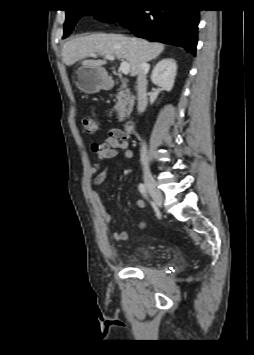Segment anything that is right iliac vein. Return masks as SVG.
<instances>
[{
	"label": "right iliac vein",
	"mask_w": 254,
	"mask_h": 355,
	"mask_svg": "<svg viewBox=\"0 0 254 355\" xmlns=\"http://www.w3.org/2000/svg\"><path fill=\"white\" fill-rule=\"evenodd\" d=\"M144 180H145L146 187L151 197L153 198L154 202L158 206H161L163 203V196L160 189L157 187V184L154 178L152 177L150 171L148 170L144 171Z\"/></svg>",
	"instance_id": "right-iliac-vein-1"
}]
</instances>
